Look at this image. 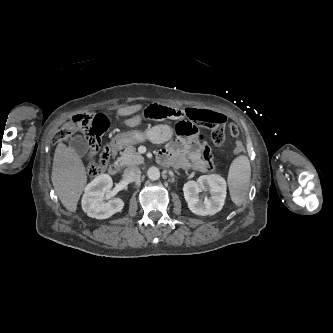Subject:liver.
Listing matches in <instances>:
<instances>
[{
  "label": "liver",
  "instance_id": "1",
  "mask_svg": "<svg viewBox=\"0 0 333 333\" xmlns=\"http://www.w3.org/2000/svg\"><path fill=\"white\" fill-rule=\"evenodd\" d=\"M142 108V105L119 108L118 115H131ZM87 182V175L82 160L71 148L64 144L56 147L52 183L63 206L70 212H75L77 203Z\"/></svg>",
  "mask_w": 333,
  "mask_h": 333
}]
</instances>
